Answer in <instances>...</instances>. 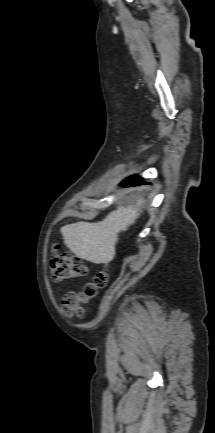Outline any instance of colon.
<instances>
[{"label": "colon", "instance_id": "1", "mask_svg": "<svg viewBox=\"0 0 215 433\" xmlns=\"http://www.w3.org/2000/svg\"><path fill=\"white\" fill-rule=\"evenodd\" d=\"M53 278L59 280L75 279L88 275L89 267L78 257L60 251V246L54 244L49 261ZM108 281L105 271L98 272L93 280L87 283L81 292H69L62 301V310L67 316L81 317L84 313L82 303L94 298L99 289Z\"/></svg>", "mask_w": 215, "mask_h": 433}]
</instances>
